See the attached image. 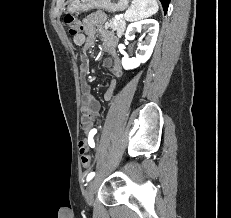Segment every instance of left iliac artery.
<instances>
[{
	"mask_svg": "<svg viewBox=\"0 0 231 218\" xmlns=\"http://www.w3.org/2000/svg\"><path fill=\"white\" fill-rule=\"evenodd\" d=\"M97 133V129H92L90 132H89V136H88V144L91 148H94L95 147V142H94V135ZM95 176V172H91L88 174L87 176V182L90 181L93 177Z\"/></svg>",
	"mask_w": 231,
	"mask_h": 218,
	"instance_id": "44dca946",
	"label": "left iliac artery"
}]
</instances>
